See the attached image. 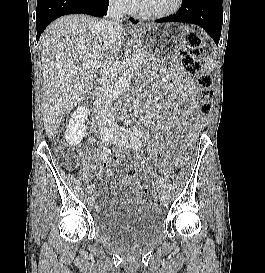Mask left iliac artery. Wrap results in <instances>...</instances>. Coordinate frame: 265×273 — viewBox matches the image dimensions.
Here are the masks:
<instances>
[{
  "instance_id": "44dca946",
  "label": "left iliac artery",
  "mask_w": 265,
  "mask_h": 273,
  "mask_svg": "<svg viewBox=\"0 0 265 273\" xmlns=\"http://www.w3.org/2000/svg\"><path fill=\"white\" fill-rule=\"evenodd\" d=\"M133 129V133L137 136V137H142V131H141V129L140 128H138V127H133L132 128ZM160 185H161V187L162 188H166V183H165V181H164V179L163 178H161L160 179Z\"/></svg>"
}]
</instances>
